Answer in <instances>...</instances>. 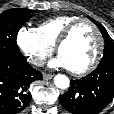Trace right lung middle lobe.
Instances as JSON below:
<instances>
[{
  "label": "right lung middle lobe",
  "mask_w": 114,
  "mask_h": 114,
  "mask_svg": "<svg viewBox=\"0 0 114 114\" xmlns=\"http://www.w3.org/2000/svg\"><path fill=\"white\" fill-rule=\"evenodd\" d=\"M31 11L9 9L0 14V57H24L16 43L18 31L31 18Z\"/></svg>",
  "instance_id": "1"
}]
</instances>
